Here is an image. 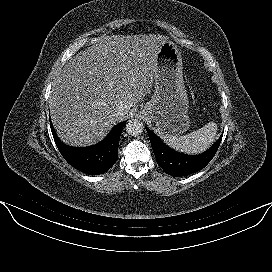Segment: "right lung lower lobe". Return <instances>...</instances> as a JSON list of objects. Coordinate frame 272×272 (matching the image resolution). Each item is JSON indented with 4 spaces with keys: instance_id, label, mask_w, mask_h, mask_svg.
Returning <instances> with one entry per match:
<instances>
[{
    "instance_id": "obj_1",
    "label": "right lung lower lobe",
    "mask_w": 272,
    "mask_h": 272,
    "mask_svg": "<svg viewBox=\"0 0 272 272\" xmlns=\"http://www.w3.org/2000/svg\"><path fill=\"white\" fill-rule=\"evenodd\" d=\"M126 122L116 125L100 143L83 148L65 145L56 136L51 122L50 126L54 141L64 159L83 173L99 175L108 171L117 161L119 140Z\"/></svg>"
}]
</instances>
